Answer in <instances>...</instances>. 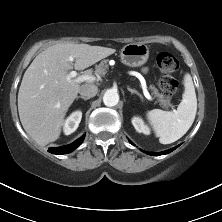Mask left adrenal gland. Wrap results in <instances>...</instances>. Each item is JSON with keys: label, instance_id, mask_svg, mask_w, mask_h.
Here are the masks:
<instances>
[{"label": "left adrenal gland", "instance_id": "left-adrenal-gland-1", "mask_svg": "<svg viewBox=\"0 0 222 222\" xmlns=\"http://www.w3.org/2000/svg\"><path fill=\"white\" fill-rule=\"evenodd\" d=\"M127 90L130 91L131 94L134 93V94L138 95L141 99H143L142 95H141L137 90L131 89V88H129V87H127Z\"/></svg>", "mask_w": 222, "mask_h": 222}]
</instances>
